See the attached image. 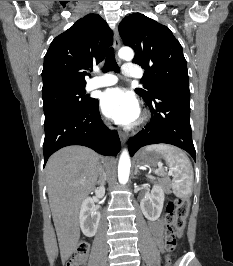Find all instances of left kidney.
Masks as SVG:
<instances>
[{"instance_id": "1", "label": "left kidney", "mask_w": 233, "mask_h": 266, "mask_svg": "<svg viewBox=\"0 0 233 266\" xmlns=\"http://www.w3.org/2000/svg\"><path fill=\"white\" fill-rule=\"evenodd\" d=\"M164 190L160 185H154L151 193L140 202L144 216L150 220H157L162 212L164 203Z\"/></svg>"}]
</instances>
